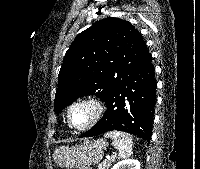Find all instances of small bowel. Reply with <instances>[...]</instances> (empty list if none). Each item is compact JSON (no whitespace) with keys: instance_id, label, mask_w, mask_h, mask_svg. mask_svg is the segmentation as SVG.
Instances as JSON below:
<instances>
[{"instance_id":"c3829d8e","label":"small bowel","mask_w":200,"mask_h":169,"mask_svg":"<svg viewBox=\"0 0 200 169\" xmlns=\"http://www.w3.org/2000/svg\"><path fill=\"white\" fill-rule=\"evenodd\" d=\"M80 169H92V168L82 167V168H80Z\"/></svg>"}]
</instances>
